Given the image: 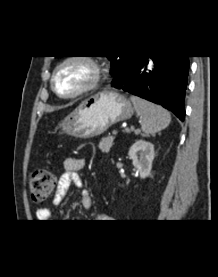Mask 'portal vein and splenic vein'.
Masks as SVG:
<instances>
[{"label":"portal vein and splenic vein","instance_id":"portal-vein-and-splenic-vein-1","mask_svg":"<svg viewBox=\"0 0 218 277\" xmlns=\"http://www.w3.org/2000/svg\"><path fill=\"white\" fill-rule=\"evenodd\" d=\"M134 128L131 127V129H126L127 132H130V130H133ZM113 136L117 135V131H113L112 132Z\"/></svg>","mask_w":218,"mask_h":277}]
</instances>
